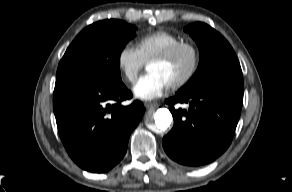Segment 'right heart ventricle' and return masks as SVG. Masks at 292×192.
I'll return each mask as SVG.
<instances>
[{
	"instance_id": "1",
	"label": "right heart ventricle",
	"mask_w": 292,
	"mask_h": 192,
	"mask_svg": "<svg viewBox=\"0 0 292 192\" xmlns=\"http://www.w3.org/2000/svg\"><path fill=\"white\" fill-rule=\"evenodd\" d=\"M183 41L182 37L165 30L148 33L137 41L136 48L144 62Z\"/></svg>"
}]
</instances>
